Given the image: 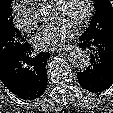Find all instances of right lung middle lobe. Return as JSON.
<instances>
[{
	"mask_svg": "<svg viewBox=\"0 0 113 113\" xmlns=\"http://www.w3.org/2000/svg\"><path fill=\"white\" fill-rule=\"evenodd\" d=\"M11 3L12 0H0V68L26 44L14 26Z\"/></svg>",
	"mask_w": 113,
	"mask_h": 113,
	"instance_id": "dd1d6c3e",
	"label": "right lung middle lobe"
}]
</instances>
